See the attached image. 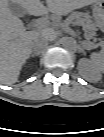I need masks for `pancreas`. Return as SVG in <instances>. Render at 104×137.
Segmentation results:
<instances>
[{
    "label": "pancreas",
    "mask_w": 104,
    "mask_h": 137,
    "mask_svg": "<svg viewBox=\"0 0 104 137\" xmlns=\"http://www.w3.org/2000/svg\"><path fill=\"white\" fill-rule=\"evenodd\" d=\"M69 23L78 24L84 26L86 30H90L94 25L88 20V15L81 12H73L66 20ZM93 48L94 45H91Z\"/></svg>",
    "instance_id": "1"
}]
</instances>
